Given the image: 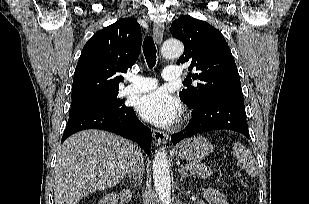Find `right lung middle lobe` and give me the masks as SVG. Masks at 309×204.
Listing matches in <instances>:
<instances>
[{
  "label": "right lung middle lobe",
  "mask_w": 309,
  "mask_h": 204,
  "mask_svg": "<svg viewBox=\"0 0 309 204\" xmlns=\"http://www.w3.org/2000/svg\"><path fill=\"white\" fill-rule=\"evenodd\" d=\"M118 92L108 95L96 97L83 102L71 104L70 114L85 111H107L121 115L125 113L129 107L124 106L123 101L117 98Z\"/></svg>",
  "instance_id": "1"
}]
</instances>
